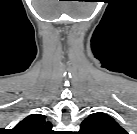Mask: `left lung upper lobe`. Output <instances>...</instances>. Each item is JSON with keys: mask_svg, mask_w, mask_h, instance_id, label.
<instances>
[{"mask_svg": "<svg viewBox=\"0 0 137 134\" xmlns=\"http://www.w3.org/2000/svg\"><path fill=\"white\" fill-rule=\"evenodd\" d=\"M80 134H127L109 115L97 112L89 115L80 126Z\"/></svg>", "mask_w": 137, "mask_h": 134, "instance_id": "left-lung-upper-lobe-1", "label": "left lung upper lobe"}]
</instances>
